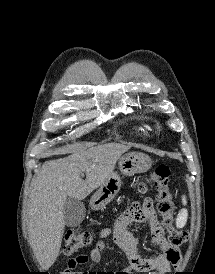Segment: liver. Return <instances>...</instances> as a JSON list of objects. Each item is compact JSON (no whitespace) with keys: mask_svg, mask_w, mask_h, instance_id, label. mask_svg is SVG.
<instances>
[{"mask_svg":"<svg viewBox=\"0 0 215 274\" xmlns=\"http://www.w3.org/2000/svg\"><path fill=\"white\" fill-rule=\"evenodd\" d=\"M121 144L72 149L71 155L46 161L33 180L27 213L31 247L43 270L58 257L65 228L63 208L67 197L85 199L113 173L116 162L128 151ZM66 151H58L59 154ZM85 172L86 179H81Z\"/></svg>","mask_w":215,"mask_h":274,"instance_id":"liver-1","label":"liver"}]
</instances>
